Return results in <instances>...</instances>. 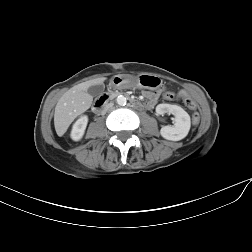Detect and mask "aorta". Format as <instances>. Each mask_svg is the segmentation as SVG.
<instances>
[{"label":"aorta","instance_id":"762f6f07","mask_svg":"<svg viewBox=\"0 0 252 252\" xmlns=\"http://www.w3.org/2000/svg\"><path fill=\"white\" fill-rule=\"evenodd\" d=\"M116 102H117L118 105L124 106V105H126L127 99H126L125 96L119 95V96L117 97V99H116Z\"/></svg>","mask_w":252,"mask_h":252}]
</instances>
